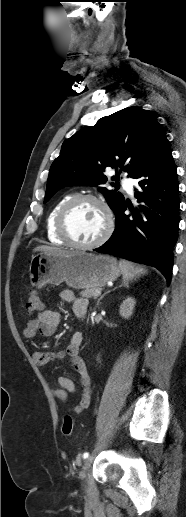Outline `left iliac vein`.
Instances as JSON below:
<instances>
[{"mask_svg":"<svg viewBox=\"0 0 186 517\" xmlns=\"http://www.w3.org/2000/svg\"><path fill=\"white\" fill-rule=\"evenodd\" d=\"M92 461H93V458H92V457H88V458L84 461V463H83V465H82V470H81V472H80V478H81L82 480H84V479L86 478L87 471L89 470V468H90V466H91V464H92Z\"/></svg>","mask_w":186,"mask_h":517,"instance_id":"4c4485c4","label":"left iliac vein"}]
</instances>
